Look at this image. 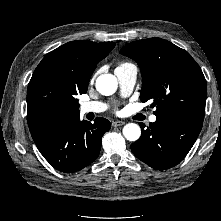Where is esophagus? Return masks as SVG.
Returning <instances> with one entry per match:
<instances>
[{
	"instance_id": "1",
	"label": "esophagus",
	"mask_w": 221,
	"mask_h": 221,
	"mask_svg": "<svg viewBox=\"0 0 221 221\" xmlns=\"http://www.w3.org/2000/svg\"><path fill=\"white\" fill-rule=\"evenodd\" d=\"M124 124H125L124 121H113L112 122L113 127L123 126Z\"/></svg>"
}]
</instances>
